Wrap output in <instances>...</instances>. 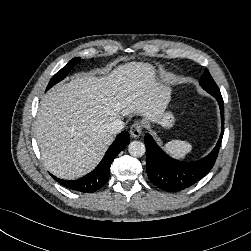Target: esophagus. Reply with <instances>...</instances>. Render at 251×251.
<instances>
[{"mask_svg":"<svg viewBox=\"0 0 251 251\" xmlns=\"http://www.w3.org/2000/svg\"><path fill=\"white\" fill-rule=\"evenodd\" d=\"M143 126L140 122H135L130 128V134L133 138H138L141 136Z\"/></svg>","mask_w":251,"mask_h":251,"instance_id":"obj_1","label":"esophagus"}]
</instances>
